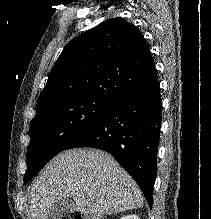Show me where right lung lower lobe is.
Returning <instances> with one entry per match:
<instances>
[{"instance_id": "obj_1", "label": "right lung lower lobe", "mask_w": 211, "mask_h": 219, "mask_svg": "<svg viewBox=\"0 0 211 219\" xmlns=\"http://www.w3.org/2000/svg\"><path fill=\"white\" fill-rule=\"evenodd\" d=\"M161 112L160 86L155 74L142 87L114 101L65 149L92 147L110 153L134 178L152 208Z\"/></svg>"}]
</instances>
